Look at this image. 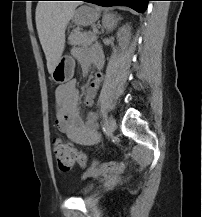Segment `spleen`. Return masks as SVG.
<instances>
[{"mask_svg": "<svg viewBox=\"0 0 202 217\" xmlns=\"http://www.w3.org/2000/svg\"><path fill=\"white\" fill-rule=\"evenodd\" d=\"M102 23L105 27H108V28L113 27V25H114L113 15L105 14L103 16Z\"/></svg>", "mask_w": 202, "mask_h": 217, "instance_id": "1", "label": "spleen"}]
</instances>
